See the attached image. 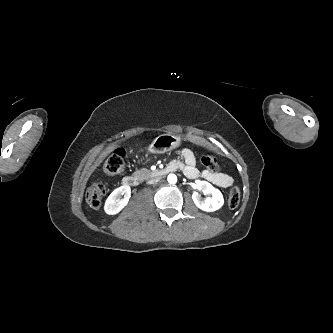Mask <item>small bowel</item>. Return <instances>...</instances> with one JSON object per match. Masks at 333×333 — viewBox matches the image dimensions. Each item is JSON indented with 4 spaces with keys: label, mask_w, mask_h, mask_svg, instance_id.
<instances>
[{
    "label": "small bowel",
    "mask_w": 333,
    "mask_h": 333,
    "mask_svg": "<svg viewBox=\"0 0 333 333\" xmlns=\"http://www.w3.org/2000/svg\"><path fill=\"white\" fill-rule=\"evenodd\" d=\"M181 155L183 161L174 160L171 164L176 165L177 169H181L188 178L196 179L200 177L221 188H227L232 185L233 179L226 173L210 172L208 170L200 172L196 168V158L192 150L184 148Z\"/></svg>",
    "instance_id": "obj_1"
}]
</instances>
